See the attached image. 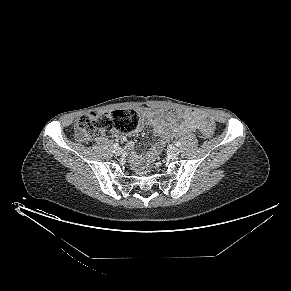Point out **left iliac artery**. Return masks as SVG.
Wrapping results in <instances>:
<instances>
[{"mask_svg": "<svg viewBox=\"0 0 291 291\" xmlns=\"http://www.w3.org/2000/svg\"><path fill=\"white\" fill-rule=\"evenodd\" d=\"M175 145H176L177 147H179V146H181V142H180V141H177V142L175 143Z\"/></svg>", "mask_w": 291, "mask_h": 291, "instance_id": "44dca946", "label": "left iliac artery"}]
</instances>
